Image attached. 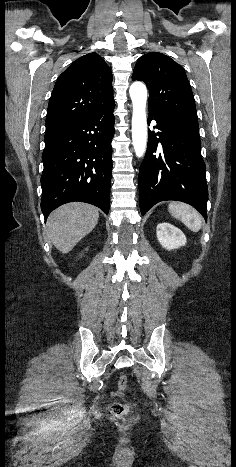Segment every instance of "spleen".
I'll list each match as a JSON object with an SVG mask.
<instances>
[{
  "instance_id": "1",
  "label": "spleen",
  "mask_w": 236,
  "mask_h": 467,
  "mask_svg": "<svg viewBox=\"0 0 236 467\" xmlns=\"http://www.w3.org/2000/svg\"><path fill=\"white\" fill-rule=\"evenodd\" d=\"M168 210L174 218L181 220L193 232L201 229L202 221L199 213L188 204L174 202L169 204Z\"/></svg>"
}]
</instances>
